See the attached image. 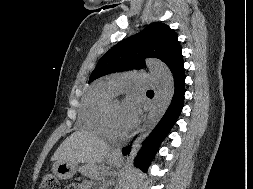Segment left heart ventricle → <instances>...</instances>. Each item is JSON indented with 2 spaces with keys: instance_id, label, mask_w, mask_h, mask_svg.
<instances>
[{
  "instance_id": "1",
  "label": "left heart ventricle",
  "mask_w": 253,
  "mask_h": 189,
  "mask_svg": "<svg viewBox=\"0 0 253 189\" xmlns=\"http://www.w3.org/2000/svg\"><path fill=\"white\" fill-rule=\"evenodd\" d=\"M110 124L118 132H124L129 129L124 119V105L118 101H114L111 104Z\"/></svg>"
}]
</instances>
